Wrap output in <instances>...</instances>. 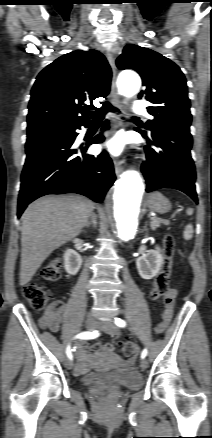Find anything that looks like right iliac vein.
Masks as SVG:
<instances>
[{
  "label": "right iliac vein",
  "instance_id": "1",
  "mask_svg": "<svg viewBox=\"0 0 212 438\" xmlns=\"http://www.w3.org/2000/svg\"><path fill=\"white\" fill-rule=\"evenodd\" d=\"M97 319L95 316L93 315H89L87 316L86 320H85V326L87 329L89 330H94L97 327ZM65 366L67 369H72L73 368V363L70 359H66L65 361Z\"/></svg>",
  "mask_w": 212,
  "mask_h": 438
}]
</instances>
